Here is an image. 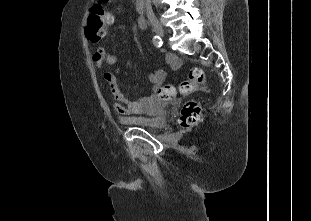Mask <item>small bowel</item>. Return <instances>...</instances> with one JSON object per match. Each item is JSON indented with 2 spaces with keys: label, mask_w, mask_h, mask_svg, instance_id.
Masks as SVG:
<instances>
[{
  "label": "small bowel",
  "mask_w": 311,
  "mask_h": 221,
  "mask_svg": "<svg viewBox=\"0 0 311 221\" xmlns=\"http://www.w3.org/2000/svg\"><path fill=\"white\" fill-rule=\"evenodd\" d=\"M93 61L98 68H102L104 64L114 65L117 62V58L106 47L100 46L93 55ZM171 61L174 62V59L172 58ZM103 76L109 84L110 92L113 96L112 108L116 114L120 116H131L145 112L150 97H141L135 101H128L119 88L117 75L113 72L105 71ZM165 77V71L159 69L150 73L149 80L154 88H159L164 82Z\"/></svg>",
  "instance_id": "1"
}]
</instances>
